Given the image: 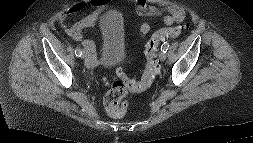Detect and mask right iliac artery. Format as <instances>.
<instances>
[{"mask_svg":"<svg viewBox=\"0 0 253 143\" xmlns=\"http://www.w3.org/2000/svg\"><path fill=\"white\" fill-rule=\"evenodd\" d=\"M75 54H76L77 57H81V56H82V51H81V49H80V48H77V49L75 50Z\"/></svg>","mask_w":253,"mask_h":143,"instance_id":"right-iliac-artery-1","label":"right iliac artery"}]
</instances>
